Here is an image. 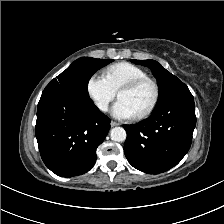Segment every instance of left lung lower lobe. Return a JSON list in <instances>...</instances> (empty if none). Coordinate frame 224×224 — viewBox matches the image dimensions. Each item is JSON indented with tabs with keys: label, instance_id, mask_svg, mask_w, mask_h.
Returning a JSON list of instances; mask_svg holds the SVG:
<instances>
[{
	"label": "left lung lower lobe",
	"instance_id": "obj_1",
	"mask_svg": "<svg viewBox=\"0 0 224 224\" xmlns=\"http://www.w3.org/2000/svg\"><path fill=\"white\" fill-rule=\"evenodd\" d=\"M195 125L194 98L191 93L180 95L155 108L149 118L123 126L127 132L124 144L126 158L142 172H165L188 152Z\"/></svg>",
	"mask_w": 224,
	"mask_h": 224
}]
</instances>
